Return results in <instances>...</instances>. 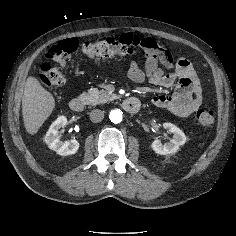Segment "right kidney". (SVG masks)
I'll list each match as a JSON object with an SVG mask.
<instances>
[{
  "instance_id": "1",
  "label": "right kidney",
  "mask_w": 236,
  "mask_h": 236,
  "mask_svg": "<svg viewBox=\"0 0 236 236\" xmlns=\"http://www.w3.org/2000/svg\"><path fill=\"white\" fill-rule=\"evenodd\" d=\"M67 118L59 116L50 126L47 131L44 141L48 148L55 151L61 156H68L75 154L79 149V142L77 140L61 141L58 135V130L66 126Z\"/></svg>"
}]
</instances>
